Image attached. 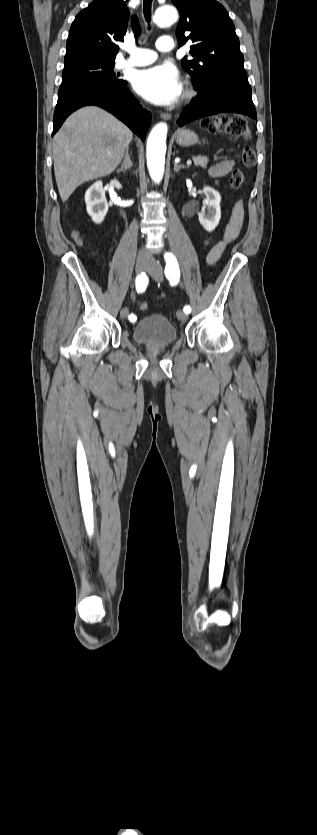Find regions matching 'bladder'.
<instances>
[{
	"label": "bladder",
	"instance_id": "31cf9c89",
	"mask_svg": "<svg viewBox=\"0 0 317 835\" xmlns=\"http://www.w3.org/2000/svg\"><path fill=\"white\" fill-rule=\"evenodd\" d=\"M132 337L142 345L163 346L175 342L178 335L176 327L167 317L152 314L135 324Z\"/></svg>",
	"mask_w": 317,
	"mask_h": 835
}]
</instances>
